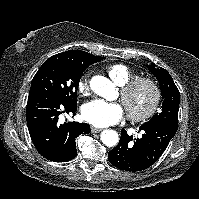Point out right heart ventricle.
<instances>
[{"instance_id": "right-heart-ventricle-1", "label": "right heart ventricle", "mask_w": 199, "mask_h": 199, "mask_svg": "<svg viewBox=\"0 0 199 199\" xmlns=\"http://www.w3.org/2000/svg\"><path fill=\"white\" fill-rule=\"evenodd\" d=\"M106 71L110 78L118 85H123L136 76L134 70L121 63L108 65Z\"/></svg>"}]
</instances>
